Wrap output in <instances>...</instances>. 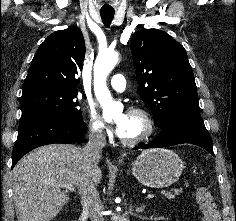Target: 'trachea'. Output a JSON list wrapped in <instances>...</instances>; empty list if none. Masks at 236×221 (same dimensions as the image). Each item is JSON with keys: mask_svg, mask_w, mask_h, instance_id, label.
<instances>
[{"mask_svg": "<svg viewBox=\"0 0 236 221\" xmlns=\"http://www.w3.org/2000/svg\"><path fill=\"white\" fill-rule=\"evenodd\" d=\"M100 15L104 25L109 27L114 17V11H101Z\"/></svg>", "mask_w": 236, "mask_h": 221, "instance_id": "3493384b", "label": "trachea"}]
</instances>
